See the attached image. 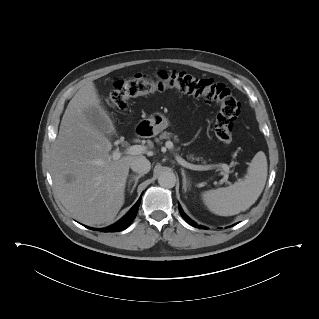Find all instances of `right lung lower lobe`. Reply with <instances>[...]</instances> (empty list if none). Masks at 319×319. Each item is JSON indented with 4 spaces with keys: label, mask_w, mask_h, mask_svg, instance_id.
Masks as SVG:
<instances>
[{
    "label": "right lung lower lobe",
    "mask_w": 319,
    "mask_h": 319,
    "mask_svg": "<svg viewBox=\"0 0 319 319\" xmlns=\"http://www.w3.org/2000/svg\"><path fill=\"white\" fill-rule=\"evenodd\" d=\"M140 201H141V197L139 198V200L135 203V205L129 210V212L121 219L119 220L117 223L107 227V228H102L99 229L102 232H118V231H122L124 229H126L134 220L139 205H140ZM89 228V227H87ZM93 229V228H90Z\"/></svg>",
    "instance_id": "right-lung-lower-lobe-1"
}]
</instances>
